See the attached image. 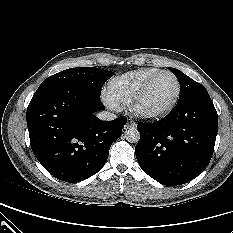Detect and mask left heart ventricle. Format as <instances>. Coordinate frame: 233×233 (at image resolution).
I'll list each match as a JSON object with an SVG mask.
<instances>
[{
	"instance_id": "b2bd125f",
	"label": "left heart ventricle",
	"mask_w": 233,
	"mask_h": 233,
	"mask_svg": "<svg viewBox=\"0 0 233 233\" xmlns=\"http://www.w3.org/2000/svg\"><path fill=\"white\" fill-rule=\"evenodd\" d=\"M176 82L168 74L157 77L140 102V108L155 111L165 107L174 97Z\"/></svg>"
}]
</instances>
